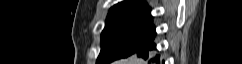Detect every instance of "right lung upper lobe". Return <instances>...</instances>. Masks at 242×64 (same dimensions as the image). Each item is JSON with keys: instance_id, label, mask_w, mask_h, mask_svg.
Returning a JSON list of instances; mask_svg holds the SVG:
<instances>
[{"instance_id": "1", "label": "right lung upper lobe", "mask_w": 242, "mask_h": 64, "mask_svg": "<svg viewBox=\"0 0 242 64\" xmlns=\"http://www.w3.org/2000/svg\"><path fill=\"white\" fill-rule=\"evenodd\" d=\"M128 13H150V9L143 0H124L110 9L108 17Z\"/></svg>"}]
</instances>
